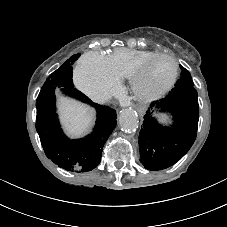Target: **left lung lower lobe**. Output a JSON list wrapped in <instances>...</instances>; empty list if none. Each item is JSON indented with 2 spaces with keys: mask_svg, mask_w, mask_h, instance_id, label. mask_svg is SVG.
<instances>
[{
  "mask_svg": "<svg viewBox=\"0 0 227 227\" xmlns=\"http://www.w3.org/2000/svg\"><path fill=\"white\" fill-rule=\"evenodd\" d=\"M169 112L174 123L160 125L154 113ZM198 94L194 86H177L150 104L139 134L140 162L149 170L166 169L178 162L193 145L198 128Z\"/></svg>",
  "mask_w": 227,
  "mask_h": 227,
  "instance_id": "obj_1",
  "label": "left lung lower lobe"
}]
</instances>
